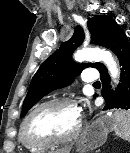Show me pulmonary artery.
Listing matches in <instances>:
<instances>
[{"label": "pulmonary artery", "mask_w": 130, "mask_h": 153, "mask_svg": "<svg viewBox=\"0 0 130 153\" xmlns=\"http://www.w3.org/2000/svg\"><path fill=\"white\" fill-rule=\"evenodd\" d=\"M99 74L97 70H87L83 73V81L85 83H94L98 80Z\"/></svg>", "instance_id": "obj_1"}]
</instances>
